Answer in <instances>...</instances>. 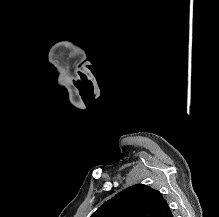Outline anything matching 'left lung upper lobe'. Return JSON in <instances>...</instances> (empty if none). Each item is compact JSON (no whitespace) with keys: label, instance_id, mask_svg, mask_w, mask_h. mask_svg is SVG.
Returning a JSON list of instances; mask_svg holds the SVG:
<instances>
[{"label":"left lung upper lobe","instance_id":"left-lung-upper-lobe-1","mask_svg":"<svg viewBox=\"0 0 219 217\" xmlns=\"http://www.w3.org/2000/svg\"><path fill=\"white\" fill-rule=\"evenodd\" d=\"M91 217H173V215L159 191L143 184H136L106 201Z\"/></svg>","mask_w":219,"mask_h":217}]
</instances>
